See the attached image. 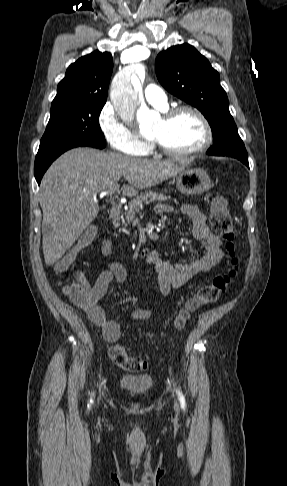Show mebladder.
<instances>
[{
    "mask_svg": "<svg viewBox=\"0 0 287 486\" xmlns=\"http://www.w3.org/2000/svg\"><path fill=\"white\" fill-rule=\"evenodd\" d=\"M120 386L131 394L142 395L151 389L152 379L147 375H124L120 379Z\"/></svg>",
    "mask_w": 287,
    "mask_h": 486,
    "instance_id": "31cf9c89",
    "label": "bladder"
}]
</instances>
